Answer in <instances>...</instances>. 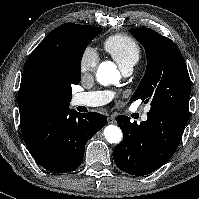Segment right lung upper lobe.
<instances>
[{
  "mask_svg": "<svg viewBox=\"0 0 199 199\" xmlns=\"http://www.w3.org/2000/svg\"><path fill=\"white\" fill-rule=\"evenodd\" d=\"M69 25L72 24H63L51 31L25 63L18 92L20 125L25 144L48 132L56 119L70 109L71 99L56 90L44 87L41 83L47 61L53 50L62 43L65 38L63 30Z\"/></svg>",
  "mask_w": 199,
  "mask_h": 199,
  "instance_id": "obj_1",
  "label": "right lung upper lobe"
}]
</instances>
